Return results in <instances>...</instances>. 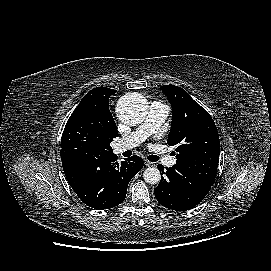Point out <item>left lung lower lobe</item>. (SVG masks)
I'll list each match as a JSON object with an SVG mask.
<instances>
[{
  "label": "left lung lower lobe",
  "mask_w": 271,
  "mask_h": 271,
  "mask_svg": "<svg viewBox=\"0 0 271 271\" xmlns=\"http://www.w3.org/2000/svg\"><path fill=\"white\" fill-rule=\"evenodd\" d=\"M158 169L165 177H161L154 192L158 202L168 209L190 210L197 206L211 189L210 185L176 165L166 168V172L163 171L162 165H158Z\"/></svg>",
  "instance_id": "1"
}]
</instances>
